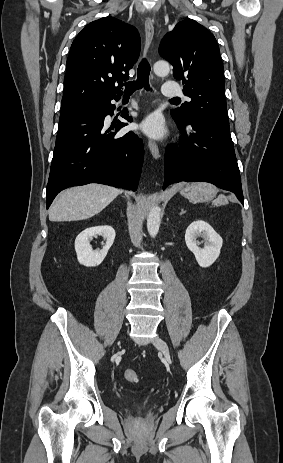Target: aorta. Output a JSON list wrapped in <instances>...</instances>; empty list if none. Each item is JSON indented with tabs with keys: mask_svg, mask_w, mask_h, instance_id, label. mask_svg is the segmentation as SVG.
Returning <instances> with one entry per match:
<instances>
[{
	"mask_svg": "<svg viewBox=\"0 0 283 463\" xmlns=\"http://www.w3.org/2000/svg\"><path fill=\"white\" fill-rule=\"evenodd\" d=\"M154 73L158 76H166L169 71L170 67L169 64L165 61H158L153 66ZM160 215L161 209L159 206H152L149 210L148 218H147V230L151 237H155L159 231L160 227Z\"/></svg>",
	"mask_w": 283,
	"mask_h": 463,
	"instance_id": "762f6f07",
	"label": "aorta"
}]
</instances>
